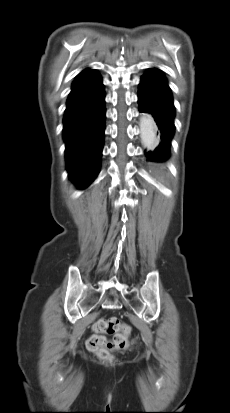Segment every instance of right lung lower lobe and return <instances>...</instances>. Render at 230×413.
<instances>
[{"mask_svg": "<svg viewBox=\"0 0 230 413\" xmlns=\"http://www.w3.org/2000/svg\"><path fill=\"white\" fill-rule=\"evenodd\" d=\"M105 90L96 70L77 75L63 118L66 167L78 188L87 187L98 175L105 130Z\"/></svg>", "mask_w": 230, "mask_h": 413, "instance_id": "obj_1", "label": "right lung lower lobe"}]
</instances>
